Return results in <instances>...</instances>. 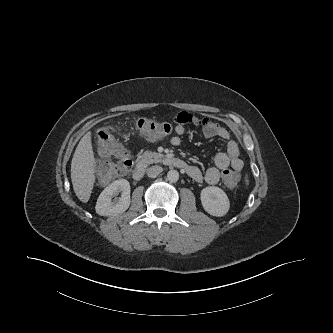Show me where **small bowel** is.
Wrapping results in <instances>:
<instances>
[{
	"instance_id": "1",
	"label": "small bowel",
	"mask_w": 333,
	"mask_h": 333,
	"mask_svg": "<svg viewBox=\"0 0 333 333\" xmlns=\"http://www.w3.org/2000/svg\"><path fill=\"white\" fill-rule=\"evenodd\" d=\"M176 135L171 138L173 146L181 144V136L186 133V124L200 126L205 138H220L226 142V150L217 152L214 158V166L208 168L204 173L197 167L190 166L188 174L195 181H205L210 185L218 183L224 171L231 168L235 172H240L244 163L240 158L239 149L236 142L231 138L230 133L223 126L212 122L208 118H202L190 113L182 112L175 117Z\"/></svg>"
}]
</instances>
